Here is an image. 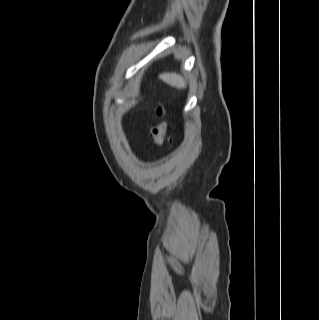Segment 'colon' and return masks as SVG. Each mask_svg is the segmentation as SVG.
Listing matches in <instances>:
<instances>
[{"label":"colon","instance_id":"obj_1","mask_svg":"<svg viewBox=\"0 0 319 320\" xmlns=\"http://www.w3.org/2000/svg\"><path fill=\"white\" fill-rule=\"evenodd\" d=\"M157 114L160 118V121L152 127L151 134L153 137L154 144L158 147H162L169 140V125L167 120L165 119V110L162 106L158 107Z\"/></svg>","mask_w":319,"mask_h":320}]
</instances>
